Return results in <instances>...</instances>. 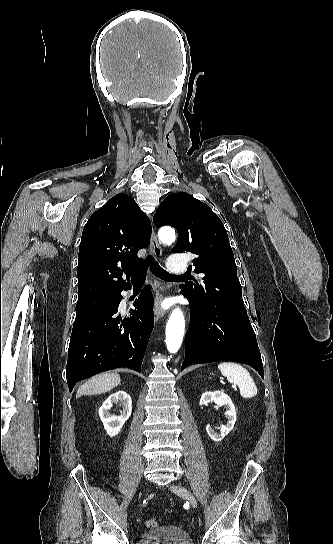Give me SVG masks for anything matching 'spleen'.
<instances>
[{
    "label": "spleen",
    "mask_w": 333,
    "mask_h": 544,
    "mask_svg": "<svg viewBox=\"0 0 333 544\" xmlns=\"http://www.w3.org/2000/svg\"><path fill=\"white\" fill-rule=\"evenodd\" d=\"M218 369L230 383L240 388V394L243 398H253L257 395V387L253 379L241 365L233 362H223L218 365Z\"/></svg>",
    "instance_id": "1"
}]
</instances>
